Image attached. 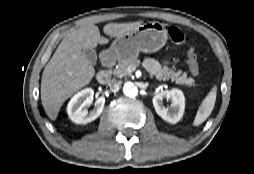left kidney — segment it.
<instances>
[{"label": "left kidney", "mask_w": 254, "mask_h": 174, "mask_svg": "<svg viewBox=\"0 0 254 174\" xmlns=\"http://www.w3.org/2000/svg\"><path fill=\"white\" fill-rule=\"evenodd\" d=\"M165 98L171 101V108L164 106L163 99ZM153 106L163 120L175 124L184 114L185 97L179 89L161 91L153 97Z\"/></svg>", "instance_id": "1"}]
</instances>
